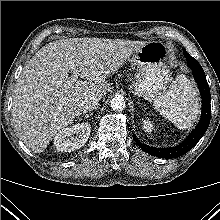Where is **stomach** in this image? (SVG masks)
<instances>
[{
	"label": "stomach",
	"mask_w": 220,
	"mask_h": 220,
	"mask_svg": "<svg viewBox=\"0 0 220 220\" xmlns=\"http://www.w3.org/2000/svg\"><path fill=\"white\" fill-rule=\"evenodd\" d=\"M167 54V47L161 41L146 42L133 54L131 61L138 72L128 88L134 95L151 102L166 92L171 81Z\"/></svg>",
	"instance_id": "obj_1"
}]
</instances>
